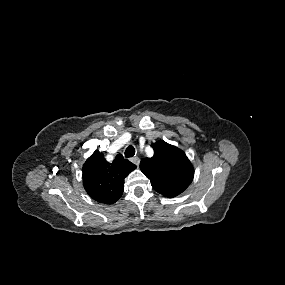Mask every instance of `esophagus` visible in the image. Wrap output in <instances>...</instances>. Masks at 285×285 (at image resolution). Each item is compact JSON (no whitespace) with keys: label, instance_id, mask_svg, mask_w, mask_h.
<instances>
[{"label":"esophagus","instance_id":"esophagus-1","mask_svg":"<svg viewBox=\"0 0 285 285\" xmlns=\"http://www.w3.org/2000/svg\"><path fill=\"white\" fill-rule=\"evenodd\" d=\"M131 161L137 166H139V164H140V159L138 157H133L131 159Z\"/></svg>","mask_w":285,"mask_h":285}]
</instances>
